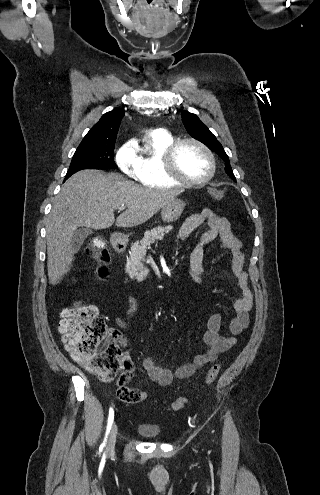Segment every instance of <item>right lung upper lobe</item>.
Segmentation results:
<instances>
[{
    "mask_svg": "<svg viewBox=\"0 0 320 495\" xmlns=\"http://www.w3.org/2000/svg\"><path fill=\"white\" fill-rule=\"evenodd\" d=\"M124 111L114 108L105 113L101 119L89 130L79 146L115 144L120 121Z\"/></svg>",
    "mask_w": 320,
    "mask_h": 495,
    "instance_id": "cb5924a9",
    "label": "right lung upper lobe"
}]
</instances>
